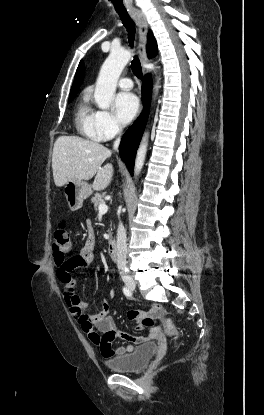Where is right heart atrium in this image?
Masks as SVG:
<instances>
[{
	"label": "right heart atrium",
	"mask_w": 264,
	"mask_h": 415,
	"mask_svg": "<svg viewBox=\"0 0 264 415\" xmlns=\"http://www.w3.org/2000/svg\"><path fill=\"white\" fill-rule=\"evenodd\" d=\"M97 126L104 139H109L121 132V125L113 114L105 110L97 111Z\"/></svg>",
	"instance_id": "right-heart-atrium-1"
}]
</instances>
